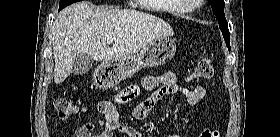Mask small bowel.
<instances>
[{"label": "small bowel", "instance_id": "1", "mask_svg": "<svg viewBox=\"0 0 280 137\" xmlns=\"http://www.w3.org/2000/svg\"><path fill=\"white\" fill-rule=\"evenodd\" d=\"M141 88L145 90L158 89L149 98L134 107L132 118L135 121L144 120L166 96L179 93L185 97L186 105L189 107L197 105L206 96V91L202 86H196L191 90L180 86L177 83L176 75L172 72L147 75L141 80L140 84L130 85L125 90L133 93L135 97L138 95ZM124 103L126 102L121 99L120 94L112 100L101 103L99 105V111L104 116V120H100L97 123H84L76 129V137H116L117 133L122 134L123 137H144L135 128L120 123L117 107ZM96 126L100 127L102 131L98 135H93ZM171 137L180 136L174 134Z\"/></svg>", "mask_w": 280, "mask_h": 137}]
</instances>
